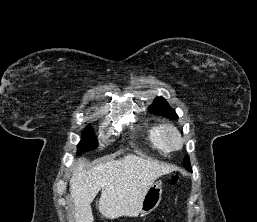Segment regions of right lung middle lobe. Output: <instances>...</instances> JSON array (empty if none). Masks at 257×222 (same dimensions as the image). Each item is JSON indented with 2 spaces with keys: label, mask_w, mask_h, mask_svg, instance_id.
I'll return each mask as SVG.
<instances>
[{
  "label": "right lung middle lobe",
  "mask_w": 257,
  "mask_h": 222,
  "mask_svg": "<svg viewBox=\"0 0 257 222\" xmlns=\"http://www.w3.org/2000/svg\"><path fill=\"white\" fill-rule=\"evenodd\" d=\"M97 147V139L95 135L93 134V131L88 128L86 132L83 134L82 139L77 146V155L81 154L85 151L93 150Z\"/></svg>",
  "instance_id": "right-lung-middle-lobe-1"
}]
</instances>
